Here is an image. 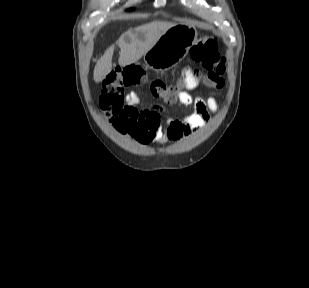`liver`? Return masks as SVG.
Instances as JSON below:
<instances>
[{"mask_svg": "<svg viewBox=\"0 0 309 288\" xmlns=\"http://www.w3.org/2000/svg\"><path fill=\"white\" fill-rule=\"evenodd\" d=\"M174 25L166 21H153L123 33L117 42L120 47L119 65L127 66L137 62ZM113 53L114 45H111L97 61L93 73L95 82L103 81L111 72Z\"/></svg>", "mask_w": 309, "mask_h": 288, "instance_id": "6515ba94", "label": "liver"}]
</instances>
